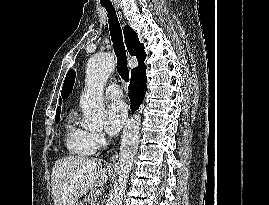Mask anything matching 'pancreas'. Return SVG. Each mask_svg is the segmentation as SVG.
<instances>
[{
  "label": "pancreas",
  "mask_w": 269,
  "mask_h": 205,
  "mask_svg": "<svg viewBox=\"0 0 269 205\" xmlns=\"http://www.w3.org/2000/svg\"><path fill=\"white\" fill-rule=\"evenodd\" d=\"M95 192L94 189L89 192V195L84 199L85 205H96L97 196Z\"/></svg>",
  "instance_id": "1"
}]
</instances>
